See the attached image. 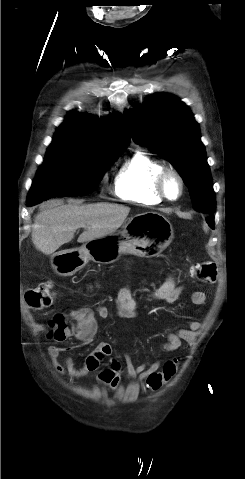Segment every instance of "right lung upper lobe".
<instances>
[{
    "label": "right lung upper lobe",
    "mask_w": 245,
    "mask_h": 479,
    "mask_svg": "<svg viewBox=\"0 0 245 479\" xmlns=\"http://www.w3.org/2000/svg\"><path fill=\"white\" fill-rule=\"evenodd\" d=\"M55 139L79 142L93 149L124 150L130 136L119 113L99 120L93 115L69 112Z\"/></svg>",
    "instance_id": "1"
}]
</instances>
